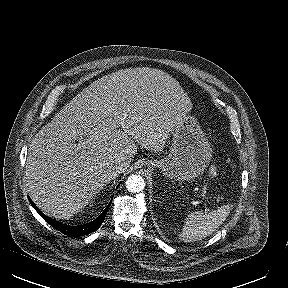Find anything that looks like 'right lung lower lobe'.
<instances>
[{
  "label": "right lung lower lobe",
  "mask_w": 288,
  "mask_h": 288,
  "mask_svg": "<svg viewBox=\"0 0 288 288\" xmlns=\"http://www.w3.org/2000/svg\"><path fill=\"white\" fill-rule=\"evenodd\" d=\"M29 198V197H28ZM29 201L31 202V199L29 198ZM32 206L37 210V212L55 229L58 231H61L63 234L70 236V237H79L83 235H87L89 233L95 232L98 230L100 225L103 223L105 216L107 214L108 208L111 204L109 202L106 209L97 217L94 221L84 224V225H78V226H70L66 224H62L60 222H57L53 219H51L48 216H45L36 206L33 202H31Z\"/></svg>",
  "instance_id": "98d812e1"
}]
</instances>
